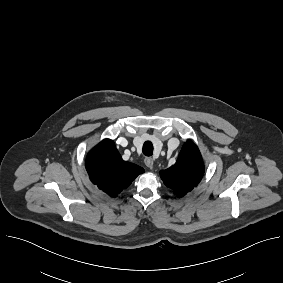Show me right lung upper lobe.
Segmentation results:
<instances>
[{
  "label": "right lung upper lobe",
  "mask_w": 283,
  "mask_h": 283,
  "mask_svg": "<svg viewBox=\"0 0 283 283\" xmlns=\"http://www.w3.org/2000/svg\"><path fill=\"white\" fill-rule=\"evenodd\" d=\"M86 169L92 183L111 197H116L144 172L142 167L124 161L110 139L101 141L88 153Z\"/></svg>",
  "instance_id": "obj_1"
}]
</instances>
